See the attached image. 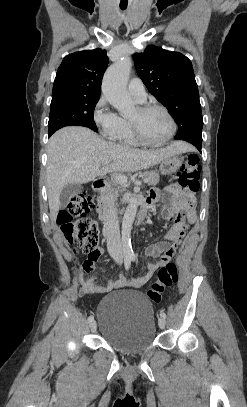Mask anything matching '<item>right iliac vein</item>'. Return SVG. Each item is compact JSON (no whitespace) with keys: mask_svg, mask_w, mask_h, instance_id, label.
Returning a JSON list of instances; mask_svg holds the SVG:
<instances>
[{"mask_svg":"<svg viewBox=\"0 0 247 407\" xmlns=\"http://www.w3.org/2000/svg\"><path fill=\"white\" fill-rule=\"evenodd\" d=\"M90 330L92 331V332H95L96 331V328H97V324H96V322L95 321H92V322H90Z\"/></svg>","mask_w":247,"mask_h":407,"instance_id":"obj_1","label":"right iliac vein"}]
</instances>
